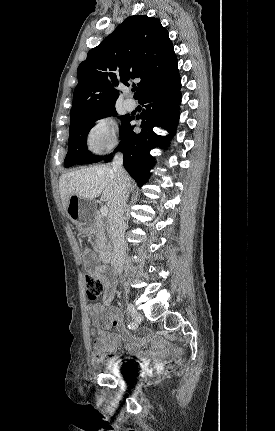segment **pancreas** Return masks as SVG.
Segmentation results:
<instances>
[{"instance_id": "cf45deb5", "label": "pancreas", "mask_w": 275, "mask_h": 431, "mask_svg": "<svg viewBox=\"0 0 275 431\" xmlns=\"http://www.w3.org/2000/svg\"><path fill=\"white\" fill-rule=\"evenodd\" d=\"M106 225L104 222V218L96 212L94 215L93 228L91 230L92 238H93V249L96 252H99L106 246L107 236H106Z\"/></svg>"}]
</instances>
